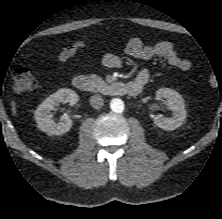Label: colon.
Here are the masks:
<instances>
[{"label":"colon","instance_id":"5ec220e1","mask_svg":"<svg viewBox=\"0 0 222 219\" xmlns=\"http://www.w3.org/2000/svg\"><path fill=\"white\" fill-rule=\"evenodd\" d=\"M218 81L214 77L209 78L211 87L217 86ZM38 81L31 71L25 66H18L13 71V88L18 93L31 92L37 89Z\"/></svg>","mask_w":222,"mask_h":219}]
</instances>
